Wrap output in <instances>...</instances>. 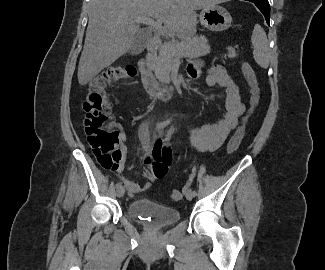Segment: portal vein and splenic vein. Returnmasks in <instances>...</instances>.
I'll return each mask as SVG.
<instances>
[{"label": "portal vein and splenic vein", "mask_w": 325, "mask_h": 270, "mask_svg": "<svg viewBox=\"0 0 325 270\" xmlns=\"http://www.w3.org/2000/svg\"><path fill=\"white\" fill-rule=\"evenodd\" d=\"M135 22L150 25L154 29H156L160 35L165 36V30L163 29L160 21H155L150 17H137L135 19Z\"/></svg>", "instance_id": "1"}]
</instances>
